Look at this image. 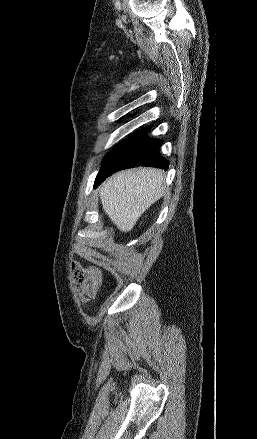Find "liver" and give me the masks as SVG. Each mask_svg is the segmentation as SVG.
I'll return each instance as SVG.
<instances>
[{"mask_svg": "<svg viewBox=\"0 0 257 439\" xmlns=\"http://www.w3.org/2000/svg\"><path fill=\"white\" fill-rule=\"evenodd\" d=\"M160 169H128L108 178L99 190L105 213L122 232L131 231L140 216L164 194Z\"/></svg>", "mask_w": 257, "mask_h": 439, "instance_id": "obj_1", "label": "liver"}]
</instances>
